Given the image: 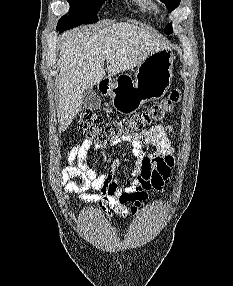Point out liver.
I'll use <instances>...</instances> for the list:
<instances>
[{"label":"liver","mask_w":233,"mask_h":286,"mask_svg":"<svg viewBox=\"0 0 233 286\" xmlns=\"http://www.w3.org/2000/svg\"><path fill=\"white\" fill-rule=\"evenodd\" d=\"M168 47L147 30L120 22L103 29L69 32L60 47L57 66L60 71L59 131L63 132L80 111L83 92L112 77L140 65L149 55Z\"/></svg>","instance_id":"1"}]
</instances>
